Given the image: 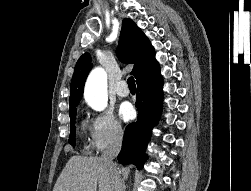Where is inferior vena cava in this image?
<instances>
[{
  "label": "inferior vena cava",
  "instance_id": "inferior-vena-cava-1",
  "mask_svg": "<svg viewBox=\"0 0 251 191\" xmlns=\"http://www.w3.org/2000/svg\"><path fill=\"white\" fill-rule=\"evenodd\" d=\"M122 139H123V131L121 127H114L110 145H108L107 149H105V151H103L101 155L102 159H104L106 163H113L112 159H114V157H117L121 149ZM114 179L117 185H119L116 191H124V185H122V179H120V175H116L115 173Z\"/></svg>",
  "mask_w": 251,
  "mask_h": 191
}]
</instances>
